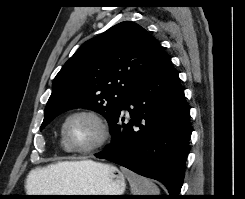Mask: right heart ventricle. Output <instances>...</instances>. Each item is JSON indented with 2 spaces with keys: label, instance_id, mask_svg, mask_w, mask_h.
Masks as SVG:
<instances>
[{
  "label": "right heart ventricle",
  "instance_id": "e07e8e85",
  "mask_svg": "<svg viewBox=\"0 0 245 199\" xmlns=\"http://www.w3.org/2000/svg\"><path fill=\"white\" fill-rule=\"evenodd\" d=\"M60 145L63 148L64 151L66 152H70V150L68 149V147L66 146L65 142L63 141L62 137L60 139Z\"/></svg>",
  "mask_w": 245,
  "mask_h": 199
}]
</instances>
